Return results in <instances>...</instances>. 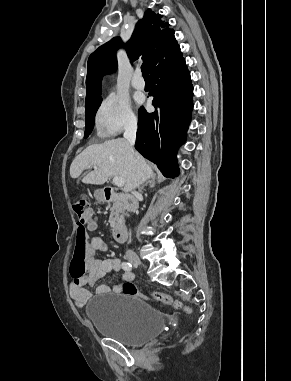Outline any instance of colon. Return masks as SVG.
Here are the masks:
<instances>
[{"instance_id":"5ec220e1","label":"colon","mask_w":291,"mask_h":381,"mask_svg":"<svg viewBox=\"0 0 291 381\" xmlns=\"http://www.w3.org/2000/svg\"><path fill=\"white\" fill-rule=\"evenodd\" d=\"M72 208L78 221V230L73 263L76 266L77 270L83 272L87 249V230H94L96 228V221L92 216L89 202L86 199H76L73 202ZM122 292L127 295L140 297L144 300H155L165 305H171L174 308L186 313L190 312L189 307L184 305L181 301L173 298L172 296L163 293H154L151 295L144 294L140 292L137 289V287L131 282H127L122 286Z\"/></svg>"}]
</instances>
